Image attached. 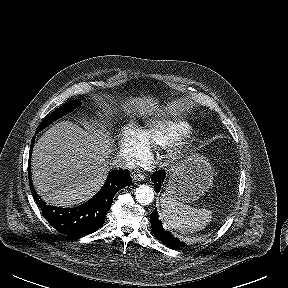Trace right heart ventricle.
<instances>
[{
	"label": "right heart ventricle",
	"instance_id": "obj_1",
	"mask_svg": "<svg viewBox=\"0 0 288 288\" xmlns=\"http://www.w3.org/2000/svg\"><path fill=\"white\" fill-rule=\"evenodd\" d=\"M190 124L179 118H159L150 121L140 132L141 138L149 148L165 147L189 132Z\"/></svg>",
	"mask_w": 288,
	"mask_h": 288
}]
</instances>
